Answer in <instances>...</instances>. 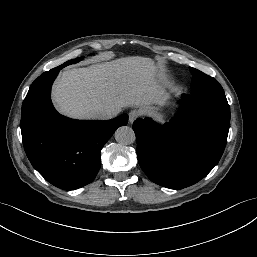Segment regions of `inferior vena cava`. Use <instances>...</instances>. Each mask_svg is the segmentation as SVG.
Listing matches in <instances>:
<instances>
[{
	"label": "inferior vena cava",
	"mask_w": 257,
	"mask_h": 257,
	"mask_svg": "<svg viewBox=\"0 0 257 257\" xmlns=\"http://www.w3.org/2000/svg\"><path fill=\"white\" fill-rule=\"evenodd\" d=\"M120 112L119 109L113 108V109H97L93 117L94 119L98 120H108L112 119L117 116V114Z\"/></svg>",
	"instance_id": "inferior-vena-cava-1"
}]
</instances>
